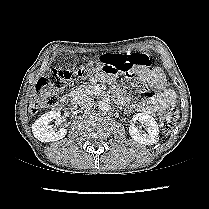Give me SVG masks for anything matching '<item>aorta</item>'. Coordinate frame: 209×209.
Segmentation results:
<instances>
[{
    "instance_id": "obj_1",
    "label": "aorta",
    "mask_w": 209,
    "mask_h": 209,
    "mask_svg": "<svg viewBox=\"0 0 209 209\" xmlns=\"http://www.w3.org/2000/svg\"><path fill=\"white\" fill-rule=\"evenodd\" d=\"M98 108L102 111H109L111 108L110 102L107 99H101L98 101Z\"/></svg>"
}]
</instances>
